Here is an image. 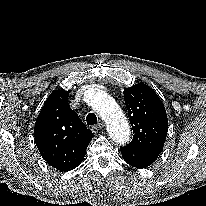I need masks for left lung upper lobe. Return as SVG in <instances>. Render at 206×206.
<instances>
[{"label":"left lung upper lobe","instance_id":"left-lung-upper-lobe-1","mask_svg":"<svg viewBox=\"0 0 206 206\" xmlns=\"http://www.w3.org/2000/svg\"><path fill=\"white\" fill-rule=\"evenodd\" d=\"M123 93L134 133L132 141L125 147L159 154L168 131V119L162 101L144 83L125 88Z\"/></svg>","mask_w":206,"mask_h":206}]
</instances>
